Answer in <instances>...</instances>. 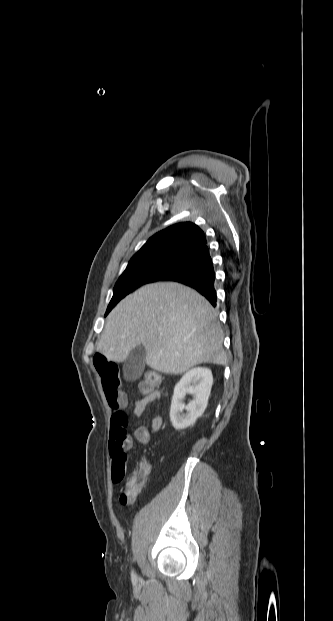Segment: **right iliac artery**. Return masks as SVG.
I'll return each mask as SVG.
<instances>
[{"mask_svg":"<svg viewBox=\"0 0 333 621\" xmlns=\"http://www.w3.org/2000/svg\"><path fill=\"white\" fill-rule=\"evenodd\" d=\"M131 577H132V580H133V581H136V580H137V576H136V574L134 573V571H132V572H131Z\"/></svg>","mask_w":333,"mask_h":621,"instance_id":"obj_1","label":"right iliac artery"}]
</instances>
